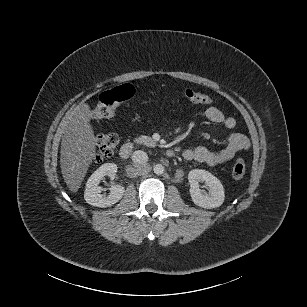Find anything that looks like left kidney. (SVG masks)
Segmentation results:
<instances>
[{
	"label": "left kidney",
	"mask_w": 307,
	"mask_h": 307,
	"mask_svg": "<svg viewBox=\"0 0 307 307\" xmlns=\"http://www.w3.org/2000/svg\"><path fill=\"white\" fill-rule=\"evenodd\" d=\"M190 183V195L197 206L212 209L221 206L224 202V188L221 182L210 172L201 169H193L188 174ZM200 182H204L209 193L200 189Z\"/></svg>",
	"instance_id": "obj_1"
}]
</instances>
